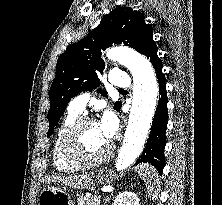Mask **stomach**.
<instances>
[{"mask_svg":"<svg viewBox=\"0 0 222 205\" xmlns=\"http://www.w3.org/2000/svg\"><path fill=\"white\" fill-rule=\"evenodd\" d=\"M94 178L99 182L106 181L104 172H99ZM38 205H73V202L65 187L48 185L41 191Z\"/></svg>","mask_w":222,"mask_h":205,"instance_id":"obj_1","label":"stomach"}]
</instances>
